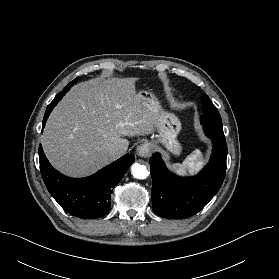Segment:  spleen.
Wrapping results in <instances>:
<instances>
[{
  "label": "spleen",
  "mask_w": 279,
  "mask_h": 279,
  "mask_svg": "<svg viewBox=\"0 0 279 279\" xmlns=\"http://www.w3.org/2000/svg\"><path fill=\"white\" fill-rule=\"evenodd\" d=\"M202 154L200 150H195L191 155H189L183 162L182 165L174 164L173 167L177 169L180 174L185 173V169L188 168L191 171H194L196 168L201 167L202 162Z\"/></svg>",
  "instance_id": "spleen-1"
}]
</instances>
